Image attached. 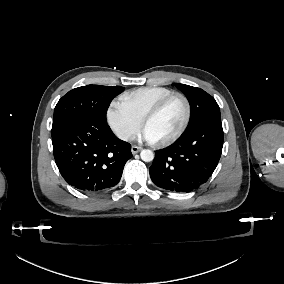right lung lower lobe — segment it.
Returning a JSON list of instances; mask_svg holds the SVG:
<instances>
[{
    "label": "right lung lower lobe",
    "instance_id": "obj_1",
    "mask_svg": "<svg viewBox=\"0 0 284 284\" xmlns=\"http://www.w3.org/2000/svg\"><path fill=\"white\" fill-rule=\"evenodd\" d=\"M57 167L71 186L99 192L115 186L132 157L131 145L118 139L107 123L77 117L52 130Z\"/></svg>",
    "mask_w": 284,
    "mask_h": 284
}]
</instances>
